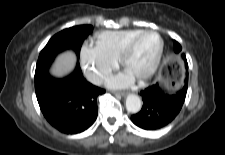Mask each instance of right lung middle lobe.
<instances>
[{
    "label": "right lung middle lobe",
    "mask_w": 225,
    "mask_h": 155,
    "mask_svg": "<svg viewBox=\"0 0 225 155\" xmlns=\"http://www.w3.org/2000/svg\"><path fill=\"white\" fill-rule=\"evenodd\" d=\"M92 29L91 25L74 26L54 35L39 55L35 76L49 68L56 55L65 49H73L79 59L82 43Z\"/></svg>",
    "instance_id": "dd1d6c3e"
}]
</instances>
